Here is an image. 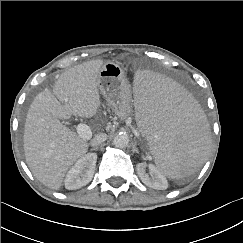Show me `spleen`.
<instances>
[{"label":"spleen","instance_id":"1","mask_svg":"<svg viewBox=\"0 0 243 243\" xmlns=\"http://www.w3.org/2000/svg\"><path fill=\"white\" fill-rule=\"evenodd\" d=\"M130 95L137 132L157 159L158 171L171 179L193 173L208 153L202 107L177 80L147 67L134 73Z\"/></svg>","mask_w":243,"mask_h":243}]
</instances>
